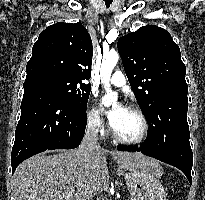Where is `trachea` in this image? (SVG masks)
Instances as JSON below:
<instances>
[{"instance_id": "3493384b", "label": "trachea", "mask_w": 205, "mask_h": 200, "mask_svg": "<svg viewBox=\"0 0 205 200\" xmlns=\"http://www.w3.org/2000/svg\"><path fill=\"white\" fill-rule=\"evenodd\" d=\"M111 3H112V0H105V4L107 8H109Z\"/></svg>"}]
</instances>
